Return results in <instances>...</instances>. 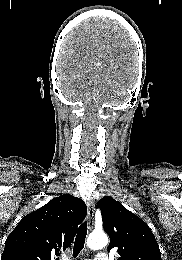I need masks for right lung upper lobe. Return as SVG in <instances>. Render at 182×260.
I'll return each mask as SVG.
<instances>
[{"mask_svg":"<svg viewBox=\"0 0 182 260\" xmlns=\"http://www.w3.org/2000/svg\"><path fill=\"white\" fill-rule=\"evenodd\" d=\"M87 214L81 199L63 194L21 219L7 237L1 260H59Z\"/></svg>","mask_w":182,"mask_h":260,"instance_id":"obj_1","label":"right lung upper lobe"}]
</instances>
